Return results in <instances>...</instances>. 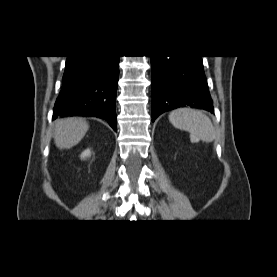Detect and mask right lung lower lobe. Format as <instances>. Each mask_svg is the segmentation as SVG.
Listing matches in <instances>:
<instances>
[{"label":"right lung lower lobe","mask_w":277,"mask_h":277,"mask_svg":"<svg viewBox=\"0 0 277 277\" xmlns=\"http://www.w3.org/2000/svg\"><path fill=\"white\" fill-rule=\"evenodd\" d=\"M119 56H67L63 85L54 107L58 116H93L116 131Z\"/></svg>","instance_id":"98d812e1"}]
</instances>
